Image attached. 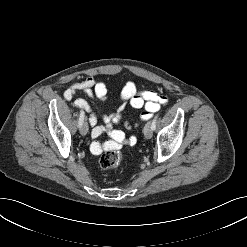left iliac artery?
I'll use <instances>...</instances> for the list:
<instances>
[{
  "instance_id": "left-iliac-artery-1",
  "label": "left iliac artery",
  "mask_w": 247,
  "mask_h": 247,
  "mask_svg": "<svg viewBox=\"0 0 247 247\" xmlns=\"http://www.w3.org/2000/svg\"><path fill=\"white\" fill-rule=\"evenodd\" d=\"M158 115L155 116V118L153 119L152 123H151V128L152 130H155L156 128V121H157Z\"/></svg>"
}]
</instances>
